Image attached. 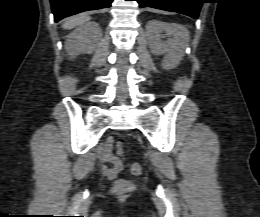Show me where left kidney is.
<instances>
[{
    "label": "left kidney",
    "instance_id": "left-kidney-1",
    "mask_svg": "<svg viewBox=\"0 0 260 217\" xmlns=\"http://www.w3.org/2000/svg\"><path fill=\"white\" fill-rule=\"evenodd\" d=\"M148 29V43L151 52L156 56L166 53L162 67L166 70L177 67L183 59L185 49L184 40L178 36V27L157 21H149ZM162 32L168 35H174L175 38L172 41L162 42L159 37V34Z\"/></svg>",
    "mask_w": 260,
    "mask_h": 217
}]
</instances>
